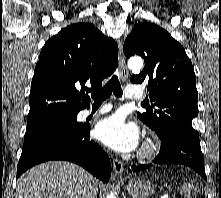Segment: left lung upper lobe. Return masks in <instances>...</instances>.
<instances>
[{
    "label": "left lung upper lobe",
    "instance_id": "left-lung-upper-lobe-1",
    "mask_svg": "<svg viewBox=\"0 0 221 198\" xmlns=\"http://www.w3.org/2000/svg\"><path fill=\"white\" fill-rule=\"evenodd\" d=\"M123 50L126 57L140 55L145 61L143 71L130 80L147 85V98L153 104L137 116L159 137L172 134L199 137L192 126L198 115L196 76L183 46L161 27L138 23Z\"/></svg>",
    "mask_w": 221,
    "mask_h": 198
}]
</instances>
